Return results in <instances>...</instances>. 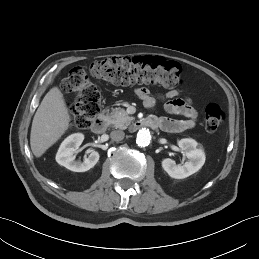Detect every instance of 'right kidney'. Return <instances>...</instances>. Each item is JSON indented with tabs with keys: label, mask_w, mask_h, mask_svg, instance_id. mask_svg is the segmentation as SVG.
<instances>
[{
	"label": "right kidney",
	"mask_w": 259,
	"mask_h": 259,
	"mask_svg": "<svg viewBox=\"0 0 259 259\" xmlns=\"http://www.w3.org/2000/svg\"><path fill=\"white\" fill-rule=\"evenodd\" d=\"M83 140L84 135L81 133L68 136L58 149L56 154L57 163L74 172H85L94 167L99 160V153L97 151H87L89 155L83 162L75 161L73 154L82 144Z\"/></svg>",
	"instance_id": "right-kidney-1"
}]
</instances>
